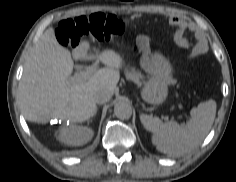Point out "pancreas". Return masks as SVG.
I'll list each match as a JSON object with an SVG mask.
<instances>
[{
    "mask_svg": "<svg viewBox=\"0 0 236 182\" xmlns=\"http://www.w3.org/2000/svg\"><path fill=\"white\" fill-rule=\"evenodd\" d=\"M125 75H126L127 79L132 80L136 84H140L141 80L143 79V75L134 69H132L130 71H126Z\"/></svg>",
    "mask_w": 236,
    "mask_h": 182,
    "instance_id": "pancreas-1",
    "label": "pancreas"
}]
</instances>
